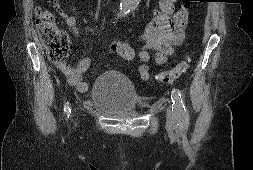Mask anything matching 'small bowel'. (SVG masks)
<instances>
[{"label": "small bowel", "mask_w": 253, "mask_h": 170, "mask_svg": "<svg viewBox=\"0 0 253 170\" xmlns=\"http://www.w3.org/2000/svg\"><path fill=\"white\" fill-rule=\"evenodd\" d=\"M176 1L160 0L159 8L154 11L153 18L145 28L141 38L142 45L139 49H134L124 41H115L107 48L109 51H115L125 60H139L141 64L138 67V73L144 81L150 80V61L153 60L159 65L167 66L169 58L175 53L174 48L184 40L186 24L179 23L176 15L174 24L171 22ZM53 5L73 34L80 36L81 31L77 27V19L63 9L57 1L53 2ZM55 65L79 92L88 90V83L84 80V75L89 71L91 65L90 57L80 59L76 66L67 62H57Z\"/></svg>", "instance_id": "small-bowel-1"}]
</instances>
